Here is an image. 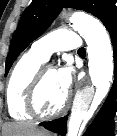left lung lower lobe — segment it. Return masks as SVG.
<instances>
[{
    "mask_svg": "<svg viewBox=\"0 0 117 136\" xmlns=\"http://www.w3.org/2000/svg\"><path fill=\"white\" fill-rule=\"evenodd\" d=\"M105 27L109 31L114 50V83L106 101L83 136H113V118L117 110V14L105 24ZM66 121L67 118L65 117L44 122L40 125L47 130L60 133L61 136H64L66 134Z\"/></svg>",
    "mask_w": 117,
    "mask_h": 136,
    "instance_id": "1",
    "label": "left lung lower lobe"
}]
</instances>
